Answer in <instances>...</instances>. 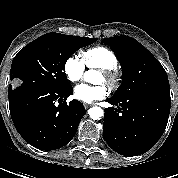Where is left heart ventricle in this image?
Masks as SVG:
<instances>
[{
	"label": "left heart ventricle",
	"mask_w": 178,
	"mask_h": 178,
	"mask_svg": "<svg viewBox=\"0 0 178 178\" xmlns=\"http://www.w3.org/2000/svg\"><path fill=\"white\" fill-rule=\"evenodd\" d=\"M105 81L104 75L102 73L99 74L98 78H97V82L98 83H102Z\"/></svg>",
	"instance_id": "b2bd125f"
}]
</instances>
